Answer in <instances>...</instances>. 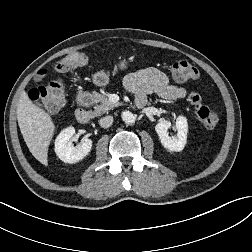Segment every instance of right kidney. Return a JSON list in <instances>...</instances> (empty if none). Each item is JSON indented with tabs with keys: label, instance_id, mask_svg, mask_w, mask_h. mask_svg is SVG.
I'll list each match as a JSON object with an SVG mask.
<instances>
[{
	"label": "right kidney",
	"instance_id": "1",
	"mask_svg": "<svg viewBox=\"0 0 252 252\" xmlns=\"http://www.w3.org/2000/svg\"><path fill=\"white\" fill-rule=\"evenodd\" d=\"M75 133L73 127H68L60 132L55 140V153L65 163H77L89 154L92 140L83 138L78 147H74L71 138Z\"/></svg>",
	"mask_w": 252,
	"mask_h": 252
}]
</instances>
